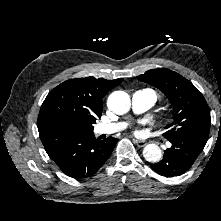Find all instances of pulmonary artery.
Segmentation results:
<instances>
[{
	"label": "pulmonary artery",
	"instance_id": "obj_1",
	"mask_svg": "<svg viewBox=\"0 0 221 221\" xmlns=\"http://www.w3.org/2000/svg\"><path fill=\"white\" fill-rule=\"evenodd\" d=\"M156 94L152 89L145 88L136 91L132 95L131 104L132 109L136 113H142L150 109L156 102ZM125 127L122 122L99 124L95 128L97 134H112L121 131Z\"/></svg>",
	"mask_w": 221,
	"mask_h": 221
}]
</instances>
